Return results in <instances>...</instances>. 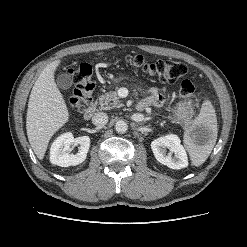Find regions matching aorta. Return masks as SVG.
<instances>
[{"mask_svg": "<svg viewBox=\"0 0 247 247\" xmlns=\"http://www.w3.org/2000/svg\"><path fill=\"white\" fill-rule=\"evenodd\" d=\"M115 130L118 133H125L128 130V124L124 120H118L115 124Z\"/></svg>", "mask_w": 247, "mask_h": 247, "instance_id": "762f6f07", "label": "aorta"}]
</instances>
